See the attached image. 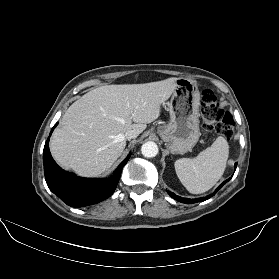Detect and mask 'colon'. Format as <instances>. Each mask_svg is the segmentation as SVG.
I'll list each match as a JSON object with an SVG mask.
<instances>
[{
  "label": "colon",
  "instance_id": "1",
  "mask_svg": "<svg viewBox=\"0 0 279 279\" xmlns=\"http://www.w3.org/2000/svg\"><path fill=\"white\" fill-rule=\"evenodd\" d=\"M201 122L205 131H216L228 138L233 135L232 115L220 106L211 90L202 93Z\"/></svg>",
  "mask_w": 279,
  "mask_h": 279
}]
</instances>
